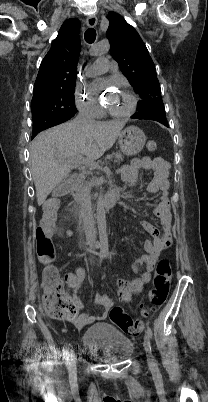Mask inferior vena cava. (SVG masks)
Returning <instances> with one entry per match:
<instances>
[{"instance_id":"inferior-vena-cava-1","label":"inferior vena cava","mask_w":208,"mask_h":402,"mask_svg":"<svg viewBox=\"0 0 208 402\" xmlns=\"http://www.w3.org/2000/svg\"><path fill=\"white\" fill-rule=\"evenodd\" d=\"M75 126H85V124H92L94 122L90 114H87L86 110H81L75 120H72ZM91 184L86 182L81 192L80 202V216L83 220V230L86 236L87 244H96V228L94 226L93 212L91 208Z\"/></svg>"}]
</instances>
